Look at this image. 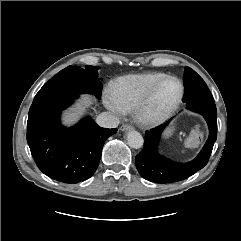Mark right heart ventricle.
Segmentation results:
<instances>
[{
  "label": "right heart ventricle",
  "mask_w": 241,
  "mask_h": 241,
  "mask_svg": "<svg viewBox=\"0 0 241 241\" xmlns=\"http://www.w3.org/2000/svg\"><path fill=\"white\" fill-rule=\"evenodd\" d=\"M166 76L160 72H145L119 77L111 84V92L126 110H133L150 87Z\"/></svg>",
  "instance_id": "right-heart-ventricle-1"
}]
</instances>
